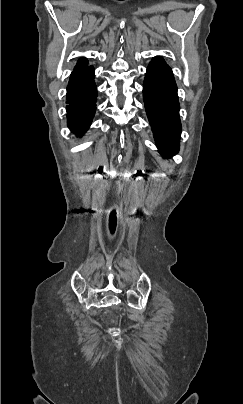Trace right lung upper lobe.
I'll use <instances>...</instances> for the list:
<instances>
[{
    "label": "right lung upper lobe",
    "instance_id": "1",
    "mask_svg": "<svg viewBox=\"0 0 243 404\" xmlns=\"http://www.w3.org/2000/svg\"><path fill=\"white\" fill-rule=\"evenodd\" d=\"M85 67H87V61L82 58V59L77 63V65H76L74 71H78V70L83 69V68H85ZM74 71H73V72H74Z\"/></svg>",
    "mask_w": 243,
    "mask_h": 404
}]
</instances>
